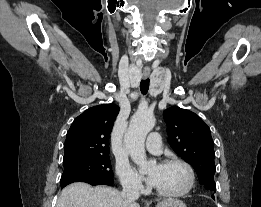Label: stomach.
Instances as JSON below:
<instances>
[{
    "label": "stomach",
    "mask_w": 261,
    "mask_h": 207,
    "mask_svg": "<svg viewBox=\"0 0 261 207\" xmlns=\"http://www.w3.org/2000/svg\"><path fill=\"white\" fill-rule=\"evenodd\" d=\"M156 207H187L181 200L168 198L157 204Z\"/></svg>",
    "instance_id": "stomach-1"
}]
</instances>
